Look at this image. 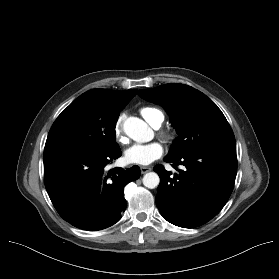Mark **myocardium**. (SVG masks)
Returning a JSON list of instances; mask_svg holds the SVG:
<instances>
[{
    "instance_id": "1",
    "label": "myocardium",
    "mask_w": 279,
    "mask_h": 279,
    "mask_svg": "<svg viewBox=\"0 0 279 279\" xmlns=\"http://www.w3.org/2000/svg\"><path fill=\"white\" fill-rule=\"evenodd\" d=\"M160 136L165 140H170L172 138V135L167 131H161Z\"/></svg>"
}]
</instances>
